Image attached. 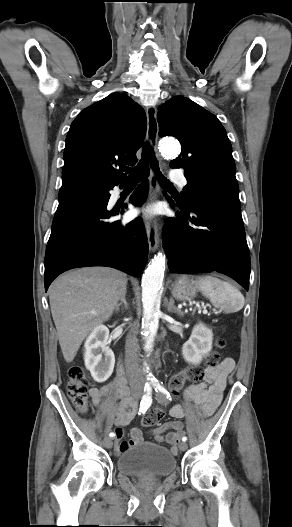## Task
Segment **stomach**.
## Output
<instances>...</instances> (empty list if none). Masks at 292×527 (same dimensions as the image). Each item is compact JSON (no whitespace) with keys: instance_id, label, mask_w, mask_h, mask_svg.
Listing matches in <instances>:
<instances>
[{"instance_id":"1","label":"stomach","mask_w":292,"mask_h":527,"mask_svg":"<svg viewBox=\"0 0 292 527\" xmlns=\"http://www.w3.org/2000/svg\"><path fill=\"white\" fill-rule=\"evenodd\" d=\"M171 293L177 300L190 301L197 294V286L189 278L183 276L172 283Z\"/></svg>"}]
</instances>
